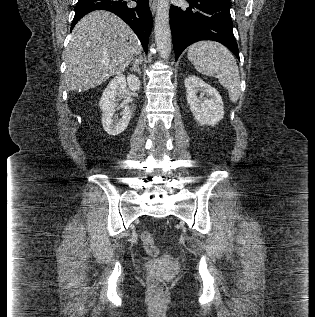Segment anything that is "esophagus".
Instances as JSON below:
<instances>
[{"instance_id": "obj_1", "label": "esophagus", "mask_w": 315, "mask_h": 317, "mask_svg": "<svg viewBox=\"0 0 315 317\" xmlns=\"http://www.w3.org/2000/svg\"><path fill=\"white\" fill-rule=\"evenodd\" d=\"M149 5H150L151 12L154 14L156 11L157 0H149Z\"/></svg>"}]
</instances>
